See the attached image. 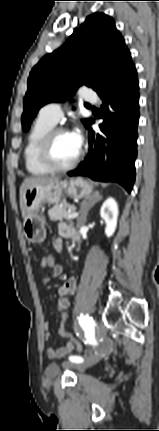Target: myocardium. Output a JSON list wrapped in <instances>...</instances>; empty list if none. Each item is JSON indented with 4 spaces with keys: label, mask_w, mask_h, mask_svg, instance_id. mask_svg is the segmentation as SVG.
Listing matches in <instances>:
<instances>
[{
    "label": "myocardium",
    "mask_w": 159,
    "mask_h": 431,
    "mask_svg": "<svg viewBox=\"0 0 159 431\" xmlns=\"http://www.w3.org/2000/svg\"><path fill=\"white\" fill-rule=\"evenodd\" d=\"M61 133H68V131L63 127H53L46 133L39 147V159L51 172L69 171L77 166L83 156V151L80 149L76 158L69 164L60 165L54 160L52 155L53 143L55 138Z\"/></svg>",
    "instance_id": "f54148a6"
}]
</instances>
